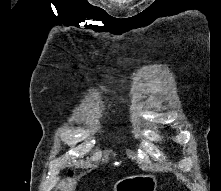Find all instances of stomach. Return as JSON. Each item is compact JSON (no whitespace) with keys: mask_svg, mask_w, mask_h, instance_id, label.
I'll return each instance as SVG.
<instances>
[{"mask_svg":"<svg viewBox=\"0 0 221 191\" xmlns=\"http://www.w3.org/2000/svg\"><path fill=\"white\" fill-rule=\"evenodd\" d=\"M157 181L151 175H136L118 180L114 184V191H156Z\"/></svg>","mask_w":221,"mask_h":191,"instance_id":"stomach-1","label":"stomach"}]
</instances>
